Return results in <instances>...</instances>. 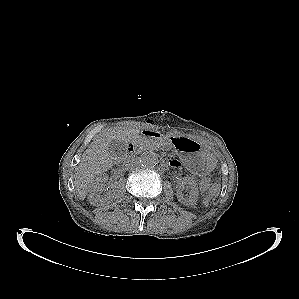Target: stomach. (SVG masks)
<instances>
[{"mask_svg": "<svg viewBox=\"0 0 299 299\" xmlns=\"http://www.w3.org/2000/svg\"><path fill=\"white\" fill-rule=\"evenodd\" d=\"M163 143L176 150L181 155L185 165L195 173H205L211 167V156L206 148L195 139L185 136L163 137Z\"/></svg>", "mask_w": 299, "mask_h": 299, "instance_id": "stomach-1", "label": "stomach"}]
</instances>
